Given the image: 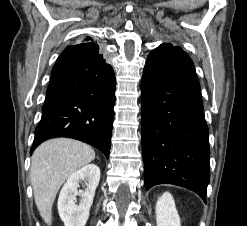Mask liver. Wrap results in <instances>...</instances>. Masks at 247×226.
Returning a JSON list of instances; mask_svg holds the SVG:
<instances>
[{
  "mask_svg": "<svg viewBox=\"0 0 247 226\" xmlns=\"http://www.w3.org/2000/svg\"><path fill=\"white\" fill-rule=\"evenodd\" d=\"M95 158L87 144L68 138L51 139L34 151L30 178L37 209L46 224L52 222V206L65 180Z\"/></svg>",
  "mask_w": 247,
  "mask_h": 226,
  "instance_id": "obj_1",
  "label": "liver"
}]
</instances>
